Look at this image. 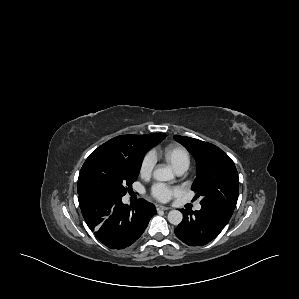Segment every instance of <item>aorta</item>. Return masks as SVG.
<instances>
[{
	"instance_id": "762f6f07",
	"label": "aorta",
	"mask_w": 299,
	"mask_h": 299,
	"mask_svg": "<svg viewBox=\"0 0 299 299\" xmlns=\"http://www.w3.org/2000/svg\"><path fill=\"white\" fill-rule=\"evenodd\" d=\"M153 177L157 181H170L174 179L173 171L166 167V168H158L154 170ZM168 221L173 225H178L182 222L183 215L179 210H171L168 213Z\"/></svg>"
}]
</instances>
